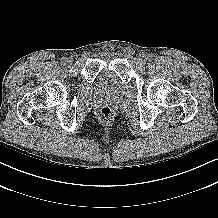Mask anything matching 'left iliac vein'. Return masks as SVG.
Here are the masks:
<instances>
[{"mask_svg": "<svg viewBox=\"0 0 218 218\" xmlns=\"http://www.w3.org/2000/svg\"><path fill=\"white\" fill-rule=\"evenodd\" d=\"M148 60V56L145 55V54H141L140 57H139V61L141 64H145L146 61Z\"/></svg>", "mask_w": 218, "mask_h": 218, "instance_id": "4c4485c4", "label": "left iliac vein"}]
</instances>
